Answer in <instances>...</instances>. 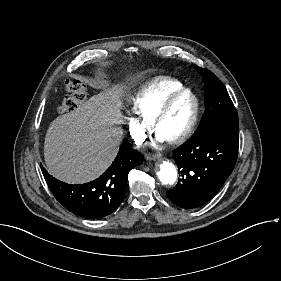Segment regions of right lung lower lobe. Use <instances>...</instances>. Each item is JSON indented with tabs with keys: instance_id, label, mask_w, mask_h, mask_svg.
<instances>
[{
	"instance_id": "right-lung-lower-lobe-1",
	"label": "right lung lower lobe",
	"mask_w": 281,
	"mask_h": 281,
	"mask_svg": "<svg viewBox=\"0 0 281 281\" xmlns=\"http://www.w3.org/2000/svg\"><path fill=\"white\" fill-rule=\"evenodd\" d=\"M142 162L140 153L130 144H123L111 166L89 183L71 185L53 178L44 168L42 172L55 198L67 210L81 217L96 219L111 214L119 207L129 171Z\"/></svg>"
}]
</instances>
